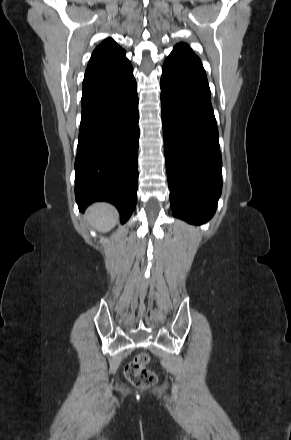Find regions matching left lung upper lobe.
Here are the masks:
<instances>
[{
  "mask_svg": "<svg viewBox=\"0 0 291 440\" xmlns=\"http://www.w3.org/2000/svg\"><path fill=\"white\" fill-rule=\"evenodd\" d=\"M173 53L179 54H187V55H195L190 47L185 43H179L175 46ZM196 56V55H195Z\"/></svg>",
  "mask_w": 291,
  "mask_h": 440,
  "instance_id": "5c2ea615",
  "label": "left lung upper lobe"
}]
</instances>
